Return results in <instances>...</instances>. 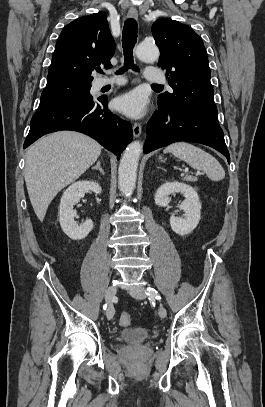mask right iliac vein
Here are the masks:
<instances>
[{"mask_svg":"<svg viewBox=\"0 0 265 407\" xmlns=\"http://www.w3.org/2000/svg\"><path fill=\"white\" fill-rule=\"evenodd\" d=\"M115 294H116V288L114 286H109L105 293V300L107 303L106 316L109 320H111L113 318L114 313H115V310H114V307L112 304Z\"/></svg>","mask_w":265,"mask_h":407,"instance_id":"63e3f726","label":"right iliac vein"}]
</instances>
